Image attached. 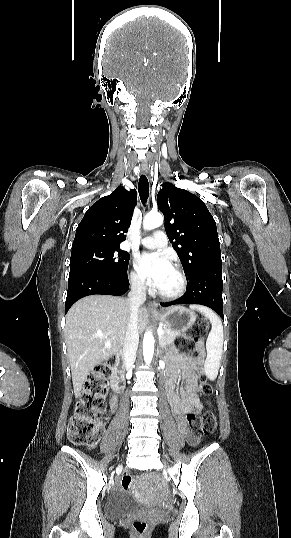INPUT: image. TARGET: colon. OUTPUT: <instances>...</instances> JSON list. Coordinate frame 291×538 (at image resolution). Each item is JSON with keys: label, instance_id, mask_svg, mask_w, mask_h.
Segmentation results:
<instances>
[{"label": "colon", "instance_id": "colon-1", "mask_svg": "<svg viewBox=\"0 0 291 538\" xmlns=\"http://www.w3.org/2000/svg\"><path fill=\"white\" fill-rule=\"evenodd\" d=\"M207 325V321L202 319L178 337L175 340L178 350L197 358L195 343L206 332ZM116 361V356L110 357L106 362L96 366L86 379L68 426L67 435L72 443L93 445L99 439L102 432L101 415L105 407V385L114 371L112 365ZM198 391L199 396L205 398L212 393V387L205 379H201ZM187 423L190 432L196 437H201L215 430L216 416L211 411H206L202 415L190 413L187 415ZM132 481L133 477L130 474H124L121 480L123 489H129ZM132 530L137 538H145L148 533L147 521L142 518L134 519Z\"/></svg>", "mask_w": 291, "mask_h": 538}]
</instances>
